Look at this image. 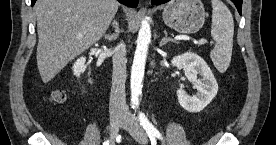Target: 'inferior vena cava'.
<instances>
[{
	"label": "inferior vena cava",
	"mask_w": 276,
	"mask_h": 145,
	"mask_svg": "<svg viewBox=\"0 0 276 145\" xmlns=\"http://www.w3.org/2000/svg\"><path fill=\"white\" fill-rule=\"evenodd\" d=\"M113 72H112V87L110 93L109 110L110 115H124L127 111L126 105V48L125 44L121 42L114 49L112 58Z\"/></svg>",
	"instance_id": "602c4592"
}]
</instances>
